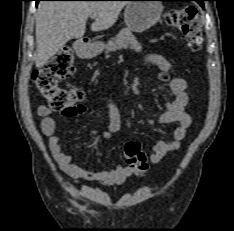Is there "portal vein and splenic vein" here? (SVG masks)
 <instances>
[{"instance_id": "1", "label": "portal vein and splenic vein", "mask_w": 234, "mask_h": 231, "mask_svg": "<svg viewBox=\"0 0 234 231\" xmlns=\"http://www.w3.org/2000/svg\"><path fill=\"white\" fill-rule=\"evenodd\" d=\"M90 17H91L92 19L97 18V13H93V14H91V15H90Z\"/></svg>"}]
</instances>
